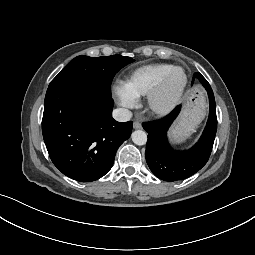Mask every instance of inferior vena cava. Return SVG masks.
Masks as SVG:
<instances>
[{
	"instance_id": "obj_1",
	"label": "inferior vena cava",
	"mask_w": 255,
	"mask_h": 255,
	"mask_svg": "<svg viewBox=\"0 0 255 255\" xmlns=\"http://www.w3.org/2000/svg\"><path fill=\"white\" fill-rule=\"evenodd\" d=\"M132 117V113L128 109L117 108L113 111V118L119 122L129 121Z\"/></svg>"
}]
</instances>
